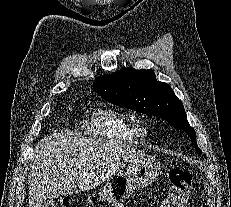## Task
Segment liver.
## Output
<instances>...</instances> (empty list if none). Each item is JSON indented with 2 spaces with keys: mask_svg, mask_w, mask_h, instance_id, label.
Here are the masks:
<instances>
[{
  "mask_svg": "<svg viewBox=\"0 0 231 207\" xmlns=\"http://www.w3.org/2000/svg\"><path fill=\"white\" fill-rule=\"evenodd\" d=\"M141 155L113 141L54 132L35 147L28 207H40L47 198L77 194V186L82 191L93 189L112 177L122 162Z\"/></svg>",
  "mask_w": 231,
  "mask_h": 207,
  "instance_id": "obj_1",
  "label": "liver"
}]
</instances>
